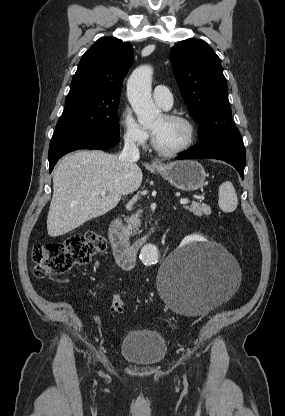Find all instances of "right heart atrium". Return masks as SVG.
<instances>
[{
    "instance_id": "1",
    "label": "right heart atrium",
    "mask_w": 285,
    "mask_h": 416,
    "mask_svg": "<svg viewBox=\"0 0 285 416\" xmlns=\"http://www.w3.org/2000/svg\"><path fill=\"white\" fill-rule=\"evenodd\" d=\"M120 125L128 143L139 148L148 145L150 139L148 129L138 122L129 108L123 109Z\"/></svg>"
}]
</instances>
